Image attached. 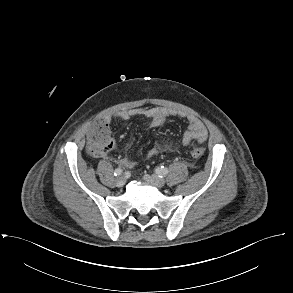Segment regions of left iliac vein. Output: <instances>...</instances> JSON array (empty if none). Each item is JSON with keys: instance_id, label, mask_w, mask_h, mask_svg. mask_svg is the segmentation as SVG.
<instances>
[{"instance_id": "obj_1", "label": "left iliac vein", "mask_w": 293, "mask_h": 293, "mask_svg": "<svg viewBox=\"0 0 293 293\" xmlns=\"http://www.w3.org/2000/svg\"><path fill=\"white\" fill-rule=\"evenodd\" d=\"M144 180L157 188H162L165 185V180L157 175H144Z\"/></svg>"}]
</instances>
